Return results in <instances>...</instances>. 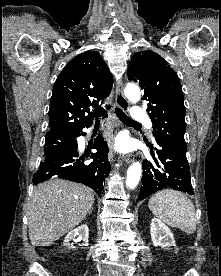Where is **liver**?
Masks as SVG:
<instances>
[{"instance_id":"obj_1","label":"liver","mask_w":221,"mask_h":276,"mask_svg":"<svg viewBox=\"0 0 221 276\" xmlns=\"http://www.w3.org/2000/svg\"><path fill=\"white\" fill-rule=\"evenodd\" d=\"M94 203V191L54 179L34 188L27 206L29 238L34 246H49L79 225Z\"/></svg>"}]
</instances>
